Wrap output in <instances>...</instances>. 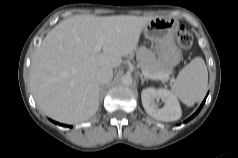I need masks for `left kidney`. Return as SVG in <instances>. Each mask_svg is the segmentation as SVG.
Wrapping results in <instances>:
<instances>
[{"instance_id": "obj_1", "label": "left kidney", "mask_w": 238, "mask_h": 158, "mask_svg": "<svg viewBox=\"0 0 238 158\" xmlns=\"http://www.w3.org/2000/svg\"><path fill=\"white\" fill-rule=\"evenodd\" d=\"M141 99L146 113L157 120L171 122L181 118L182 111L177 98L166 89H143ZM159 99L164 103L162 108H158L155 102Z\"/></svg>"}]
</instances>
